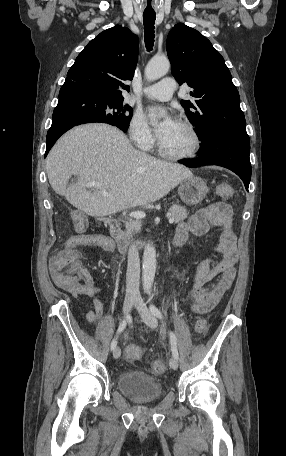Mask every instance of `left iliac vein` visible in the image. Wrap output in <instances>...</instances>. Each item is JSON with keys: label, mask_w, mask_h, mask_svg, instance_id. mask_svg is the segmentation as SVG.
I'll list each match as a JSON object with an SVG mask.
<instances>
[{"label": "left iliac vein", "mask_w": 286, "mask_h": 456, "mask_svg": "<svg viewBox=\"0 0 286 456\" xmlns=\"http://www.w3.org/2000/svg\"><path fill=\"white\" fill-rule=\"evenodd\" d=\"M135 307L139 311L143 321L146 323L147 326H149L152 329L157 328L158 322H157L156 317L148 309V307L146 306L145 302L143 301V299L141 297L137 298ZM169 365L172 369L176 370L179 366L178 360L175 357H172L169 361Z\"/></svg>", "instance_id": "left-iliac-vein-1"}]
</instances>
